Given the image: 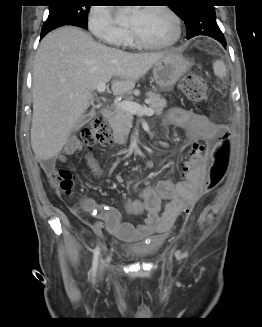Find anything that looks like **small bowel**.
I'll use <instances>...</instances> for the list:
<instances>
[{"instance_id": "c3829d8e", "label": "small bowel", "mask_w": 262, "mask_h": 327, "mask_svg": "<svg viewBox=\"0 0 262 327\" xmlns=\"http://www.w3.org/2000/svg\"><path fill=\"white\" fill-rule=\"evenodd\" d=\"M170 124L185 129L193 140L212 142V136L217 135L219 124L212 122L205 114L183 108H173L169 113ZM77 138L73 137L64 147L60 161L64 162L68 155L80 149ZM186 159H174L177 170H182L185 177L182 181L174 182L164 179L155 186L145 187L141 192V199L129 201L127 210L134 215L146 213L144 221L138 225L121 220L119 211L111 206L98 204L93 199L83 197L80 201L81 209L96 218L95 221L83 219L96 234L105 228L108 233L120 240L134 241L142 239L152 233H165L173 225L180 211L186 206L187 200L196 203L208 189H205V169L199 160H208V153H186ZM86 162L95 178L102 176V169L97 160L88 153ZM52 166H46L50 172ZM166 200L162 211V202Z\"/></svg>"}]
</instances>
